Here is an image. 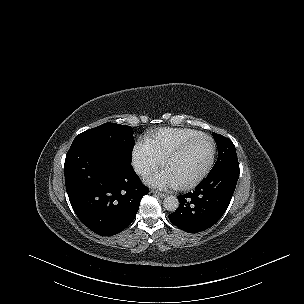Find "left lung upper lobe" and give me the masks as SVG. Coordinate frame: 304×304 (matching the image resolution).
<instances>
[{
    "label": "left lung upper lobe",
    "instance_id": "left-lung-upper-lobe-1",
    "mask_svg": "<svg viewBox=\"0 0 304 304\" xmlns=\"http://www.w3.org/2000/svg\"><path fill=\"white\" fill-rule=\"evenodd\" d=\"M218 148V159L209 173L216 172L232 164H238L236 149L231 140L224 136L212 133Z\"/></svg>",
    "mask_w": 304,
    "mask_h": 304
}]
</instances>
